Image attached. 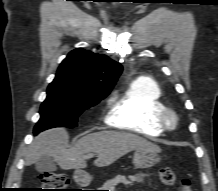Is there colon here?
I'll return each mask as SVG.
<instances>
[{
  "mask_svg": "<svg viewBox=\"0 0 218 191\" xmlns=\"http://www.w3.org/2000/svg\"><path fill=\"white\" fill-rule=\"evenodd\" d=\"M160 181L165 185H175L177 182L176 174L171 167H162L159 170ZM40 188L34 191H68L69 177L63 173H42L39 176ZM179 191H192L190 182L182 179L178 182Z\"/></svg>",
  "mask_w": 218,
  "mask_h": 191,
  "instance_id": "5ec220e1",
  "label": "colon"
}]
</instances>
